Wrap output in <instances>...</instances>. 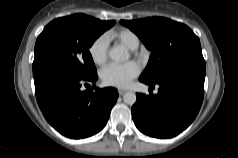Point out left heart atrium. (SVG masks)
<instances>
[{
    "label": "left heart atrium",
    "mask_w": 238,
    "mask_h": 158,
    "mask_svg": "<svg viewBox=\"0 0 238 158\" xmlns=\"http://www.w3.org/2000/svg\"><path fill=\"white\" fill-rule=\"evenodd\" d=\"M140 68L135 62L124 64L111 63L101 71V78L106 85L124 88L139 74Z\"/></svg>",
    "instance_id": "1"
}]
</instances>
